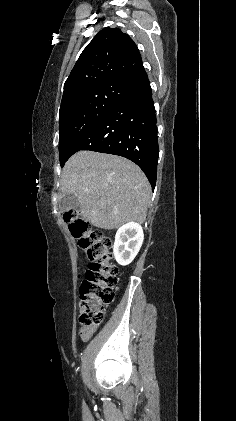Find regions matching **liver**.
I'll return each mask as SVG.
<instances>
[{"label":"liver","mask_w":236,"mask_h":421,"mask_svg":"<svg viewBox=\"0 0 236 421\" xmlns=\"http://www.w3.org/2000/svg\"><path fill=\"white\" fill-rule=\"evenodd\" d=\"M60 198L73 194L80 202V215L98 229H119L125 223H144L151 186L132 160L79 150L65 166Z\"/></svg>","instance_id":"6515ba94"}]
</instances>
